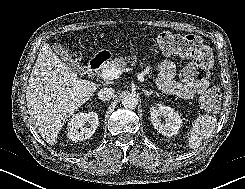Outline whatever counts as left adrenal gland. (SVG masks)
<instances>
[{"mask_svg":"<svg viewBox=\"0 0 245 189\" xmlns=\"http://www.w3.org/2000/svg\"><path fill=\"white\" fill-rule=\"evenodd\" d=\"M143 93L149 97L150 95L152 94H156L157 96H159V94L157 93V91H153V90H150V91H147V90H143Z\"/></svg>","mask_w":245,"mask_h":189,"instance_id":"1","label":"left adrenal gland"}]
</instances>
